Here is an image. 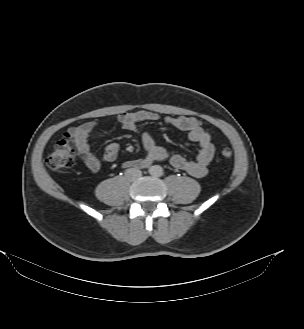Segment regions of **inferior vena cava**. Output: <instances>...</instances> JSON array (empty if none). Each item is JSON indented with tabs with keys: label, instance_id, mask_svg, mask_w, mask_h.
I'll return each mask as SVG.
<instances>
[{
	"label": "inferior vena cava",
	"instance_id": "1",
	"mask_svg": "<svg viewBox=\"0 0 304 329\" xmlns=\"http://www.w3.org/2000/svg\"><path fill=\"white\" fill-rule=\"evenodd\" d=\"M141 175L142 172L137 168H129L125 171V176L131 181L137 180Z\"/></svg>",
	"mask_w": 304,
	"mask_h": 329
}]
</instances>
